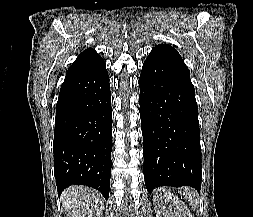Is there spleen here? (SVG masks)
I'll use <instances>...</instances> for the list:
<instances>
[{
	"instance_id": "spleen-1",
	"label": "spleen",
	"mask_w": 253,
	"mask_h": 217,
	"mask_svg": "<svg viewBox=\"0 0 253 217\" xmlns=\"http://www.w3.org/2000/svg\"><path fill=\"white\" fill-rule=\"evenodd\" d=\"M183 194L191 205H195V203H197L196 194L194 191H190L189 188H185Z\"/></svg>"
}]
</instances>
